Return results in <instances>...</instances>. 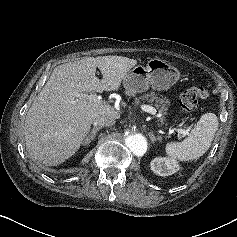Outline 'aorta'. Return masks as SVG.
<instances>
[{
    "label": "aorta",
    "mask_w": 237,
    "mask_h": 237,
    "mask_svg": "<svg viewBox=\"0 0 237 237\" xmlns=\"http://www.w3.org/2000/svg\"><path fill=\"white\" fill-rule=\"evenodd\" d=\"M126 146L137 156L143 155L147 150V142L141 134H131L125 139Z\"/></svg>",
    "instance_id": "1"
}]
</instances>
